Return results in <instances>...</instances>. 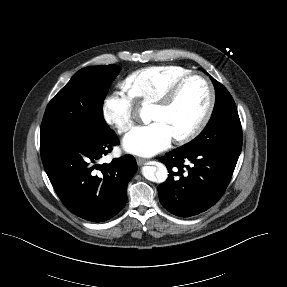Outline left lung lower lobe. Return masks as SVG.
<instances>
[{
    "label": "left lung lower lobe",
    "mask_w": 287,
    "mask_h": 287,
    "mask_svg": "<svg viewBox=\"0 0 287 287\" xmlns=\"http://www.w3.org/2000/svg\"><path fill=\"white\" fill-rule=\"evenodd\" d=\"M238 158L219 149L186 146L166 153L160 159L169 171L168 179L158 186L161 204L180 217L206 211L223 195Z\"/></svg>",
    "instance_id": "obj_1"
}]
</instances>
